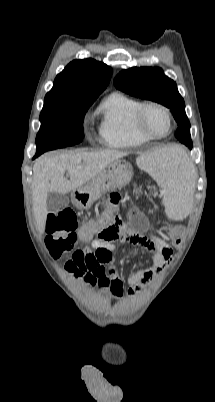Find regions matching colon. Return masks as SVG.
Instances as JSON below:
<instances>
[{"mask_svg":"<svg viewBox=\"0 0 215 402\" xmlns=\"http://www.w3.org/2000/svg\"><path fill=\"white\" fill-rule=\"evenodd\" d=\"M119 200L120 197L118 194H111L99 223L83 226L79 235L76 232V215L72 210L66 209L58 213L49 214L46 222V245L50 254L57 258L64 253L70 252L76 245L78 238L80 244H89L93 233L98 228H102L103 230L113 225L115 218L114 207L119 203ZM186 229L187 224L182 222L178 223L176 227L173 226L167 229L166 234L174 246H179L183 238L188 237V232L182 231ZM81 258L80 251H77L74 253L72 259L79 262Z\"/></svg>","mask_w":215,"mask_h":402,"instance_id":"1","label":"colon"}]
</instances>
